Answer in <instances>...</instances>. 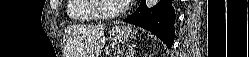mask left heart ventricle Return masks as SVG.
<instances>
[{"instance_id":"left-heart-ventricle-1","label":"left heart ventricle","mask_w":249,"mask_h":57,"mask_svg":"<svg viewBox=\"0 0 249 57\" xmlns=\"http://www.w3.org/2000/svg\"><path fill=\"white\" fill-rule=\"evenodd\" d=\"M122 1L120 0H104L103 1V8L106 12H115L119 9Z\"/></svg>"}]
</instances>
